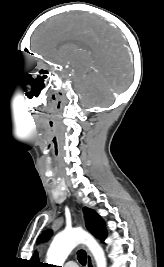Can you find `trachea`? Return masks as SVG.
Instances as JSON below:
<instances>
[{"mask_svg":"<svg viewBox=\"0 0 164 267\" xmlns=\"http://www.w3.org/2000/svg\"><path fill=\"white\" fill-rule=\"evenodd\" d=\"M77 258L79 260V262L82 264V265H85L86 264V261H87V254L84 250H80L78 251L77 253Z\"/></svg>","mask_w":164,"mask_h":267,"instance_id":"1","label":"trachea"}]
</instances>
